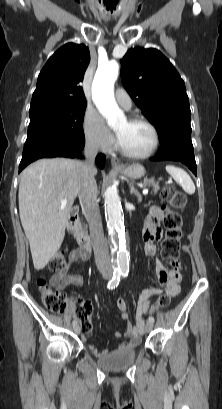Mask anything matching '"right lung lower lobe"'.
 I'll list each match as a JSON object with an SVG mask.
<instances>
[{
  "mask_svg": "<svg viewBox=\"0 0 222 409\" xmlns=\"http://www.w3.org/2000/svg\"><path fill=\"white\" fill-rule=\"evenodd\" d=\"M84 148V144L67 152H60V153H55V152H41V153H35L26 157H23L20 165H19V172L22 171L28 164L31 162L39 159V158H51V157H79L81 158L82 155L80 152ZM96 164L98 167L103 168L105 165V156L103 154H100L96 157Z\"/></svg>",
  "mask_w": 222,
  "mask_h": 409,
  "instance_id": "obj_1",
  "label": "right lung lower lobe"
}]
</instances>
